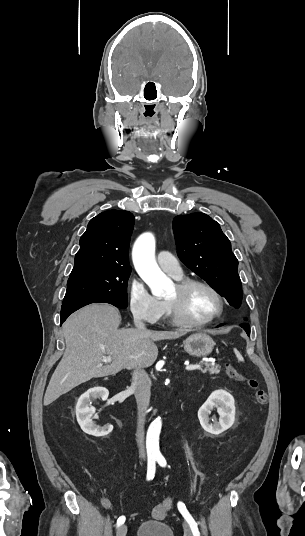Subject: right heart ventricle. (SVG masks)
Masks as SVG:
<instances>
[{
	"label": "right heart ventricle",
	"mask_w": 305,
	"mask_h": 536,
	"mask_svg": "<svg viewBox=\"0 0 305 536\" xmlns=\"http://www.w3.org/2000/svg\"><path fill=\"white\" fill-rule=\"evenodd\" d=\"M175 279H177V280H183V276L180 277V278H175ZM164 315H165V317L169 320L170 323H172V324H177V322H176L175 319L173 318L172 314L170 313V311H169L167 305H165Z\"/></svg>",
	"instance_id": "obj_1"
}]
</instances>
